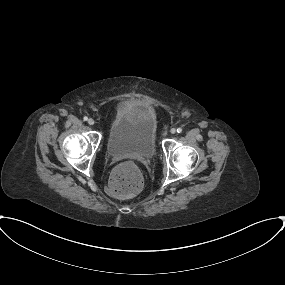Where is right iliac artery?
<instances>
[{"mask_svg":"<svg viewBox=\"0 0 285 285\" xmlns=\"http://www.w3.org/2000/svg\"><path fill=\"white\" fill-rule=\"evenodd\" d=\"M83 120H84V121H87V120H88V117H87V116H85V117L83 118Z\"/></svg>","mask_w":285,"mask_h":285,"instance_id":"right-iliac-artery-1","label":"right iliac artery"}]
</instances>
